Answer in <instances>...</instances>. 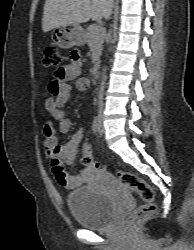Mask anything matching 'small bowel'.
Wrapping results in <instances>:
<instances>
[{
	"instance_id": "small-bowel-1",
	"label": "small bowel",
	"mask_w": 194,
	"mask_h": 250,
	"mask_svg": "<svg viewBox=\"0 0 194 250\" xmlns=\"http://www.w3.org/2000/svg\"><path fill=\"white\" fill-rule=\"evenodd\" d=\"M80 69L81 64L74 61L58 70L48 84V91L51 96L45 101V108L51 119L45 123L44 127V149L50 158L52 172L57 182L68 189L82 186L91 175L88 168L83 169L77 175L70 174L64 168L65 165H72L75 162L78 147L83 138V130L77 131L67 143L60 145L57 142L53 120L58 121L61 133L70 131L72 122L61 107L69 101L75 88L85 90L89 87V81L86 78L79 77ZM72 81H75V83L72 84Z\"/></svg>"
}]
</instances>
